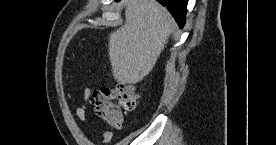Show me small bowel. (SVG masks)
Returning <instances> with one entry per match:
<instances>
[{
	"label": "small bowel",
	"mask_w": 276,
	"mask_h": 145,
	"mask_svg": "<svg viewBox=\"0 0 276 145\" xmlns=\"http://www.w3.org/2000/svg\"><path fill=\"white\" fill-rule=\"evenodd\" d=\"M91 94H92V91L89 87H85L83 89L84 102L76 110L77 117L81 121H84V122H89L90 121V118L87 114V111L90 108V106L92 105ZM112 137H113V133L111 131H109V130L103 131L102 144L103 145H108L111 142Z\"/></svg>",
	"instance_id": "obj_1"
}]
</instances>
